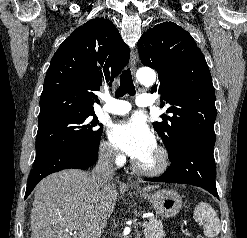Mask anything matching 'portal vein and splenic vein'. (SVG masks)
<instances>
[{"instance_id":"obj_1","label":"portal vein and splenic vein","mask_w":247,"mask_h":238,"mask_svg":"<svg viewBox=\"0 0 247 238\" xmlns=\"http://www.w3.org/2000/svg\"><path fill=\"white\" fill-rule=\"evenodd\" d=\"M146 225H147V222H144V223L142 224L143 227L146 226Z\"/></svg>"}]
</instances>
